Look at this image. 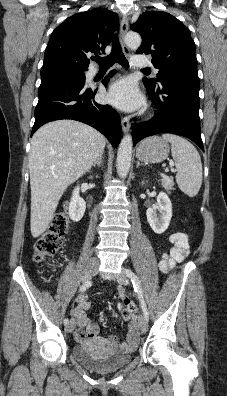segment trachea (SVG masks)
Wrapping results in <instances>:
<instances>
[{
  "label": "trachea",
  "instance_id": "trachea-1",
  "mask_svg": "<svg viewBox=\"0 0 227 396\" xmlns=\"http://www.w3.org/2000/svg\"><path fill=\"white\" fill-rule=\"evenodd\" d=\"M101 68H109L114 63L118 62L121 66L128 68L129 63L122 52L121 45L118 40V35L115 34L112 42V51L106 57H98L94 59ZM143 71H150L149 69H143Z\"/></svg>",
  "mask_w": 227,
  "mask_h": 396
}]
</instances>
